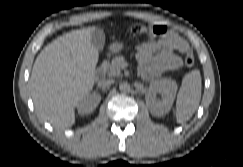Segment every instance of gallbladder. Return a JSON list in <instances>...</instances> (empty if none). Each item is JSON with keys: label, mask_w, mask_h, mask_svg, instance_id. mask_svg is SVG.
<instances>
[{"label": "gallbladder", "mask_w": 243, "mask_h": 167, "mask_svg": "<svg viewBox=\"0 0 243 167\" xmlns=\"http://www.w3.org/2000/svg\"><path fill=\"white\" fill-rule=\"evenodd\" d=\"M91 43L97 51H101L105 44V34L100 28H95L91 33Z\"/></svg>", "instance_id": "gallbladder-1"}]
</instances>
